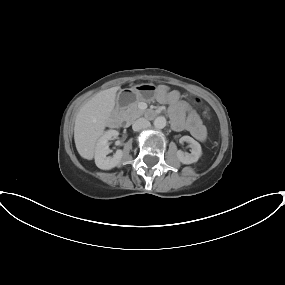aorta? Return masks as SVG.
<instances>
[{
  "mask_svg": "<svg viewBox=\"0 0 285 285\" xmlns=\"http://www.w3.org/2000/svg\"><path fill=\"white\" fill-rule=\"evenodd\" d=\"M154 126L157 129H163L166 126V118L163 116H159L154 120Z\"/></svg>",
  "mask_w": 285,
  "mask_h": 285,
  "instance_id": "aorta-1",
  "label": "aorta"
}]
</instances>
